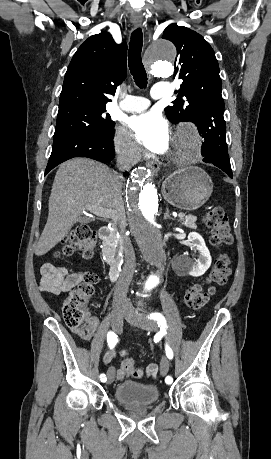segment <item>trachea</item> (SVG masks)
Listing matches in <instances>:
<instances>
[{
	"mask_svg": "<svg viewBox=\"0 0 271 459\" xmlns=\"http://www.w3.org/2000/svg\"><path fill=\"white\" fill-rule=\"evenodd\" d=\"M143 46V34L141 28H137L131 34V40L129 43V56L128 66L133 76L135 84L139 88H146L147 86V74L144 69V65L141 58V51Z\"/></svg>",
	"mask_w": 271,
	"mask_h": 459,
	"instance_id": "obj_1",
	"label": "trachea"
}]
</instances>
